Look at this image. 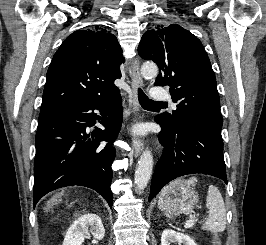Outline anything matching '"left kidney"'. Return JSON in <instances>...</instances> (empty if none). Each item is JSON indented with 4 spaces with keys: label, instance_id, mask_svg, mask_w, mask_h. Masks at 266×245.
Instances as JSON below:
<instances>
[{
    "label": "left kidney",
    "instance_id": "5707ae66",
    "mask_svg": "<svg viewBox=\"0 0 266 245\" xmlns=\"http://www.w3.org/2000/svg\"><path fill=\"white\" fill-rule=\"evenodd\" d=\"M171 243H178V245H196L195 241L189 235L176 233L172 229H165L161 235V245H171Z\"/></svg>",
    "mask_w": 266,
    "mask_h": 245
}]
</instances>
